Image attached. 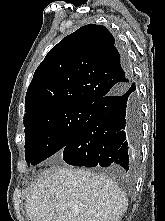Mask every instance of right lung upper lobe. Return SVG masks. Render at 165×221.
<instances>
[{"label": "right lung upper lobe", "instance_id": "obj_1", "mask_svg": "<svg viewBox=\"0 0 165 221\" xmlns=\"http://www.w3.org/2000/svg\"><path fill=\"white\" fill-rule=\"evenodd\" d=\"M132 81L103 25L88 24L54 46L36 69L25 99L24 120L46 109L93 105Z\"/></svg>", "mask_w": 165, "mask_h": 221}]
</instances>
